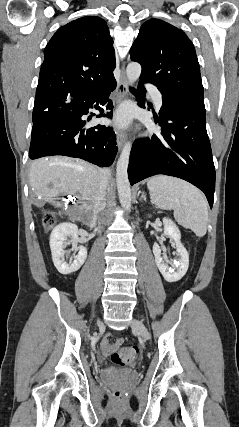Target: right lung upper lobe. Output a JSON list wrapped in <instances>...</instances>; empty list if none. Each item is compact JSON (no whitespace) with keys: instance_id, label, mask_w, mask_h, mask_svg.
<instances>
[{"instance_id":"cb5924a9","label":"right lung upper lobe","mask_w":239,"mask_h":427,"mask_svg":"<svg viewBox=\"0 0 239 427\" xmlns=\"http://www.w3.org/2000/svg\"><path fill=\"white\" fill-rule=\"evenodd\" d=\"M113 40L106 22L86 16L62 26L47 44L35 100L94 89L114 78Z\"/></svg>"}]
</instances>
